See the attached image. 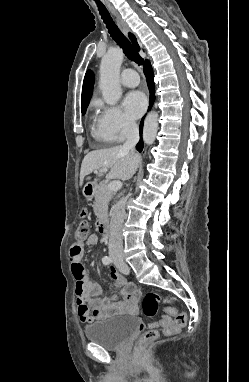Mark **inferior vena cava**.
<instances>
[{"label": "inferior vena cava", "instance_id": "1", "mask_svg": "<svg viewBox=\"0 0 249 382\" xmlns=\"http://www.w3.org/2000/svg\"><path fill=\"white\" fill-rule=\"evenodd\" d=\"M139 141V128L136 123L130 122L127 125V139L122 146V149L135 154L134 149ZM137 169V166H134ZM125 217V199L122 198L113 207V212L110 221V236H109V256L111 258H122L123 256V239H122V224Z\"/></svg>", "mask_w": 249, "mask_h": 382}]
</instances>
